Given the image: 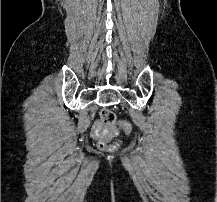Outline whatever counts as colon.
Wrapping results in <instances>:
<instances>
[{
	"label": "colon",
	"instance_id": "obj_1",
	"mask_svg": "<svg viewBox=\"0 0 217 202\" xmlns=\"http://www.w3.org/2000/svg\"><path fill=\"white\" fill-rule=\"evenodd\" d=\"M102 112L100 115V118L103 119L105 121L106 124L108 125H113L116 122V115L113 111L108 110L107 107H102ZM124 128H128L127 130V134L129 135L131 133V131L133 130L131 128V123H128V121H123L121 123ZM109 141V138H106V140L104 139H99V146L101 147V149L106 150V151H112L115 146L113 144H111Z\"/></svg>",
	"mask_w": 217,
	"mask_h": 202
}]
</instances>
